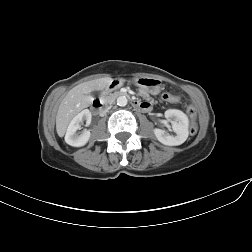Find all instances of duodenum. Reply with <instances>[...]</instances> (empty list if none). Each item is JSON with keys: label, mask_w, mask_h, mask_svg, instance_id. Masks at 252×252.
Segmentation results:
<instances>
[{"label": "duodenum", "mask_w": 252, "mask_h": 252, "mask_svg": "<svg viewBox=\"0 0 252 252\" xmlns=\"http://www.w3.org/2000/svg\"><path fill=\"white\" fill-rule=\"evenodd\" d=\"M118 85H119V82H118V81H112V82L108 85V87H107V89H106V92H108V93L113 92V91L118 87ZM132 105H133L135 108H137V109H142V102H140V101L132 100ZM92 108H93V110H94L96 113H102V112H104V110H105L103 104H102L100 101H98V100H96V101L93 102Z\"/></svg>", "instance_id": "duodenum-1"}]
</instances>
